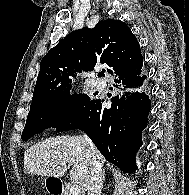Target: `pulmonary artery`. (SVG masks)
<instances>
[{
    "label": "pulmonary artery",
    "mask_w": 189,
    "mask_h": 195,
    "mask_svg": "<svg viewBox=\"0 0 189 195\" xmlns=\"http://www.w3.org/2000/svg\"><path fill=\"white\" fill-rule=\"evenodd\" d=\"M92 86L96 89L104 90L106 88V83H104L100 80H94L92 82Z\"/></svg>",
    "instance_id": "pulmonary-artery-1"
}]
</instances>
